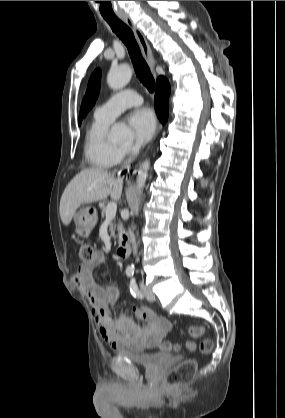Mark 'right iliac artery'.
<instances>
[{
    "label": "right iliac artery",
    "mask_w": 285,
    "mask_h": 418,
    "mask_svg": "<svg viewBox=\"0 0 285 418\" xmlns=\"http://www.w3.org/2000/svg\"><path fill=\"white\" fill-rule=\"evenodd\" d=\"M126 274H127V276H128V277H131V276H133V274H134V270H133V269H131V268H128V269L126 270Z\"/></svg>",
    "instance_id": "82829eb1"
}]
</instances>
